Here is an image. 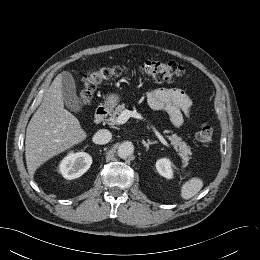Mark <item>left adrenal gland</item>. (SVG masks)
I'll return each mask as SVG.
<instances>
[{
    "label": "left adrenal gland",
    "instance_id": "a2214340",
    "mask_svg": "<svg viewBox=\"0 0 260 260\" xmlns=\"http://www.w3.org/2000/svg\"><path fill=\"white\" fill-rule=\"evenodd\" d=\"M156 141H150L148 140V142H146L144 139L142 140V144L144 145V147H146V150L149 149L150 145L156 144Z\"/></svg>",
    "mask_w": 260,
    "mask_h": 260
}]
</instances>
